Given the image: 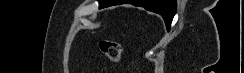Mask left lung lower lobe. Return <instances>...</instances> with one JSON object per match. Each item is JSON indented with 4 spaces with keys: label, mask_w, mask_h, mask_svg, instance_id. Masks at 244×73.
<instances>
[{
    "label": "left lung lower lobe",
    "mask_w": 244,
    "mask_h": 73,
    "mask_svg": "<svg viewBox=\"0 0 244 73\" xmlns=\"http://www.w3.org/2000/svg\"><path fill=\"white\" fill-rule=\"evenodd\" d=\"M123 3L141 6L146 10L160 14L163 17L168 30L176 13V0H106L104 5L109 7Z\"/></svg>",
    "instance_id": "left-lung-lower-lobe-1"
}]
</instances>
